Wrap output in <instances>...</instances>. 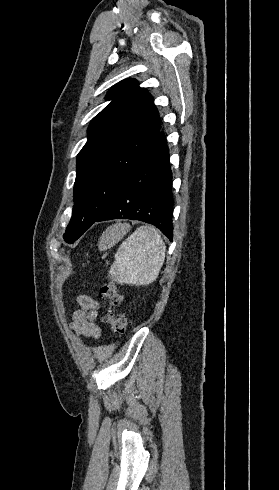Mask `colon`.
<instances>
[{"label":"colon","instance_id":"1","mask_svg":"<svg viewBox=\"0 0 279 490\" xmlns=\"http://www.w3.org/2000/svg\"><path fill=\"white\" fill-rule=\"evenodd\" d=\"M100 297L106 304V310L103 313V323L108 324L114 333L124 334L128 327V320L125 316L115 311L120 305V295L116 285L106 280L102 282L99 288Z\"/></svg>","mask_w":279,"mask_h":490}]
</instances>
